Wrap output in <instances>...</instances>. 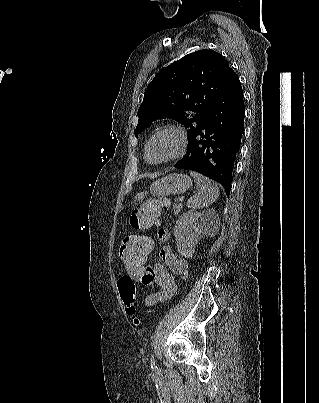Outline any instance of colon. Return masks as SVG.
<instances>
[{"mask_svg": "<svg viewBox=\"0 0 319 403\" xmlns=\"http://www.w3.org/2000/svg\"><path fill=\"white\" fill-rule=\"evenodd\" d=\"M166 205L165 200L148 199L139 209L135 210L130 217V224L134 228L149 227L160 214L161 207ZM151 232L137 231L136 238H126L119 246L122 270L128 276H119L117 279V289L121 294V307L125 310V316L130 317L131 324L135 328H140L143 314L137 305V296L145 295V288L135 287L140 284L144 271L152 263L151 256Z\"/></svg>", "mask_w": 319, "mask_h": 403, "instance_id": "1", "label": "colon"}]
</instances>
